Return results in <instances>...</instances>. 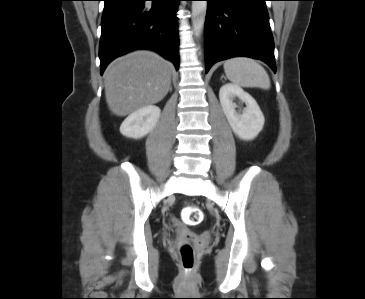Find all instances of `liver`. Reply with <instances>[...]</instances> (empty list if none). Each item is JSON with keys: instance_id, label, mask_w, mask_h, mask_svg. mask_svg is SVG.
<instances>
[{"instance_id": "obj_1", "label": "liver", "mask_w": 365, "mask_h": 299, "mask_svg": "<svg viewBox=\"0 0 365 299\" xmlns=\"http://www.w3.org/2000/svg\"><path fill=\"white\" fill-rule=\"evenodd\" d=\"M171 73V63L149 51L115 60L105 72L109 109L117 116H126L160 102L170 90Z\"/></svg>"}]
</instances>
